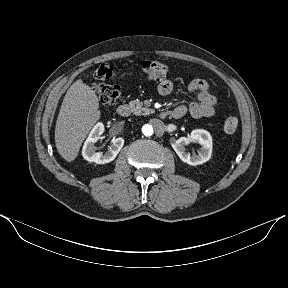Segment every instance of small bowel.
Returning a JSON list of instances; mask_svg holds the SVG:
<instances>
[{
	"instance_id": "obj_1",
	"label": "small bowel",
	"mask_w": 288,
	"mask_h": 288,
	"mask_svg": "<svg viewBox=\"0 0 288 288\" xmlns=\"http://www.w3.org/2000/svg\"><path fill=\"white\" fill-rule=\"evenodd\" d=\"M191 92L196 93L197 101L188 106L178 105L173 109L174 118H181L189 113L194 118L210 117L215 113L218 105L217 98L211 94L210 85L206 80L194 79L188 86ZM173 90V83L169 79H163L158 84V92L161 95H168Z\"/></svg>"
}]
</instances>
